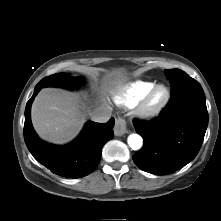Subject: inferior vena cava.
<instances>
[{
    "label": "inferior vena cava",
    "instance_id": "obj_1",
    "mask_svg": "<svg viewBox=\"0 0 221 221\" xmlns=\"http://www.w3.org/2000/svg\"><path fill=\"white\" fill-rule=\"evenodd\" d=\"M111 117V111L106 107H98L91 113V120L98 123H105Z\"/></svg>",
    "mask_w": 221,
    "mask_h": 221
}]
</instances>
